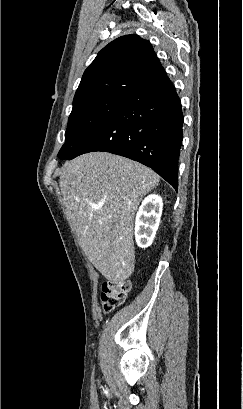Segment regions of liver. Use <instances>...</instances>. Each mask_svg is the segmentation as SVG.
Instances as JSON below:
<instances>
[{"label":"liver","instance_id":"6515ba94","mask_svg":"<svg viewBox=\"0 0 243 409\" xmlns=\"http://www.w3.org/2000/svg\"><path fill=\"white\" fill-rule=\"evenodd\" d=\"M60 189L79 244L109 281L135 267L133 220L142 198L159 184L150 168L122 156L92 152L67 161Z\"/></svg>","mask_w":243,"mask_h":409}]
</instances>
